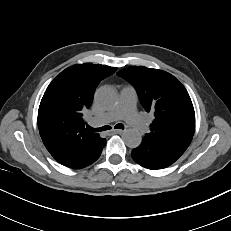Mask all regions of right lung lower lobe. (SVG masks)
Instances as JSON below:
<instances>
[{"label": "right lung lower lobe", "instance_id": "right-lung-lower-lobe-1", "mask_svg": "<svg viewBox=\"0 0 231 231\" xmlns=\"http://www.w3.org/2000/svg\"><path fill=\"white\" fill-rule=\"evenodd\" d=\"M105 144H106V140L103 139L100 145H98L94 150L89 151L82 159L74 162L73 164L65 165V166L74 169H80L88 166L89 164L95 162L99 158Z\"/></svg>", "mask_w": 231, "mask_h": 231}]
</instances>
